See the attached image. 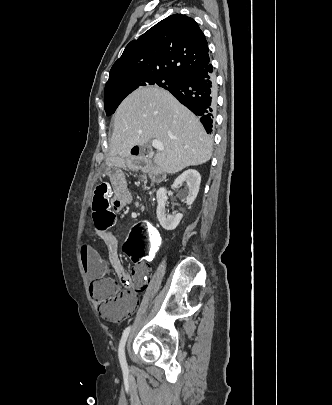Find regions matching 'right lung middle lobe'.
Listing matches in <instances>:
<instances>
[{"instance_id": "right-lung-middle-lobe-1", "label": "right lung middle lobe", "mask_w": 332, "mask_h": 405, "mask_svg": "<svg viewBox=\"0 0 332 405\" xmlns=\"http://www.w3.org/2000/svg\"><path fill=\"white\" fill-rule=\"evenodd\" d=\"M181 76L169 74L138 73L116 78L105 87L104 106L107 116L113 114L122 100L135 89L142 86H159L169 89L176 86Z\"/></svg>"}]
</instances>
